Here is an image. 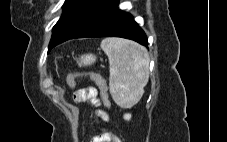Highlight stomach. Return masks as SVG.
Listing matches in <instances>:
<instances>
[{"label":"stomach","mask_w":227,"mask_h":142,"mask_svg":"<svg viewBox=\"0 0 227 142\" xmlns=\"http://www.w3.org/2000/svg\"><path fill=\"white\" fill-rule=\"evenodd\" d=\"M96 60V57L92 54H85L83 56H81L80 61L78 62L79 65H90L92 63H94Z\"/></svg>","instance_id":"1"}]
</instances>
